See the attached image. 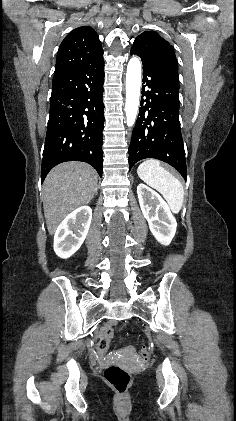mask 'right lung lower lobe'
Instances as JSON below:
<instances>
[{"label": "right lung lower lobe", "instance_id": "obj_1", "mask_svg": "<svg viewBox=\"0 0 236 421\" xmlns=\"http://www.w3.org/2000/svg\"><path fill=\"white\" fill-rule=\"evenodd\" d=\"M104 60L54 74L41 180L66 161L91 164L102 177Z\"/></svg>", "mask_w": 236, "mask_h": 421}]
</instances>
